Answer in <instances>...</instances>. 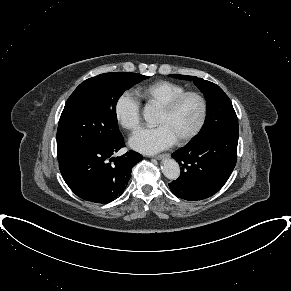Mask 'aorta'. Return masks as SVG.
<instances>
[{"label":"aorta","mask_w":291,"mask_h":291,"mask_svg":"<svg viewBox=\"0 0 291 291\" xmlns=\"http://www.w3.org/2000/svg\"><path fill=\"white\" fill-rule=\"evenodd\" d=\"M143 117L148 123H154L156 110L151 105H146L143 109ZM162 172L167 179L176 180L180 175L179 164L174 159H164Z\"/></svg>","instance_id":"obj_1"}]
</instances>
